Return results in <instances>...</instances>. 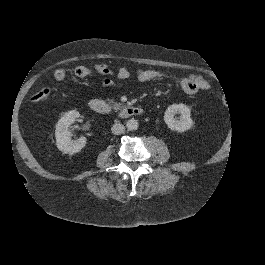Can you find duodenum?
Here are the masks:
<instances>
[{
    "label": "duodenum",
    "instance_id": "duodenum-1",
    "mask_svg": "<svg viewBox=\"0 0 265 265\" xmlns=\"http://www.w3.org/2000/svg\"><path fill=\"white\" fill-rule=\"evenodd\" d=\"M90 108L99 114L107 115L112 112V107L101 99H92L89 102ZM143 109L138 106H129L119 111V116L122 118H129L143 114Z\"/></svg>",
    "mask_w": 265,
    "mask_h": 265
}]
</instances>
